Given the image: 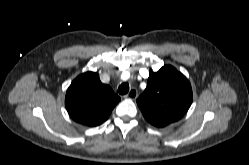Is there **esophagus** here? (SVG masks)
Segmentation results:
<instances>
[{
    "instance_id": "34e87169",
    "label": "esophagus",
    "mask_w": 249,
    "mask_h": 165,
    "mask_svg": "<svg viewBox=\"0 0 249 165\" xmlns=\"http://www.w3.org/2000/svg\"><path fill=\"white\" fill-rule=\"evenodd\" d=\"M137 96H138V92H137V90L134 89V88L131 89V90L129 91V93L126 95V97H127V98H130V99H136Z\"/></svg>"
}]
</instances>
